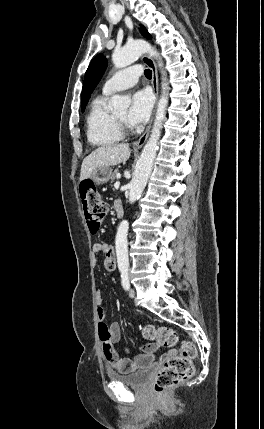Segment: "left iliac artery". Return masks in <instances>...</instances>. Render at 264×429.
I'll return each instance as SVG.
<instances>
[{
    "label": "left iliac artery",
    "mask_w": 264,
    "mask_h": 429,
    "mask_svg": "<svg viewBox=\"0 0 264 429\" xmlns=\"http://www.w3.org/2000/svg\"><path fill=\"white\" fill-rule=\"evenodd\" d=\"M122 286L125 290L129 289L128 269L121 270Z\"/></svg>",
    "instance_id": "44dca946"
}]
</instances>
